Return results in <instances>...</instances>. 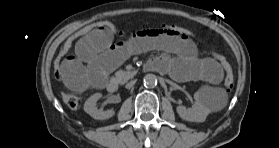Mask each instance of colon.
Segmentation results:
<instances>
[{
  "label": "colon",
  "mask_w": 279,
  "mask_h": 148,
  "mask_svg": "<svg viewBox=\"0 0 279 148\" xmlns=\"http://www.w3.org/2000/svg\"><path fill=\"white\" fill-rule=\"evenodd\" d=\"M155 29H160L171 34H175L177 36H180L181 38L192 41L194 44H198L194 34L183 26L175 25V24H163L160 27ZM94 30H106L111 32L112 34L120 35V36L124 35L125 33L123 29H121L114 22L109 20H101V21L93 22L79 29L63 43L58 54L55 57L54 69H55L56 77L60 78L61 64L63 60L67 58L68 55H70V52L73 49V46L75 45L76 41L79 40L82 36ZM203 52L209 54L214 60L218 61L219 64L224 68L225 89L228 92L232 91V89L234 88L235 79L230 64L226 61V59L222 55L218 53H215L207 49H203ZM62 100L69 108L76 110L80 108L83 98L79 94L64 92L62 93Z\"/></svg>",
  "instance_id": "5ec220e1"
}]
</instances>
